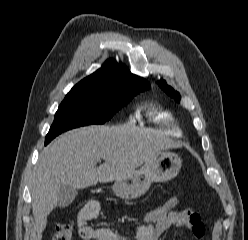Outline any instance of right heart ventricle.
<instances>
[{
  "mask_svg": "<svg viewBox=\"0 0 248 240\" xmlns=\"http://www.w3.org/2000/svg\"><path fill=\"white\" fill-rule=\"evenodd\" d=\"M152 119L154 122L165 126V128L173 135H181V131L179 130V128L173 124V117L169 112L156 111L153 113Z\"/></svg>",
  "mask_w": 248,
  "mask_h": 240,
  "instance_id": "1",
  "label": "right heart ventricle"
}]
</instances>
